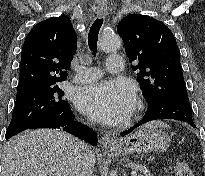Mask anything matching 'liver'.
Returning <instances> with one entry per match:
<instances>
[{
  "mask_svg": "<svg viewBox=\"0 0 205 176\" xmlns=\"http://www.w3.org/2000/svg\"><path fill=\"white\" fill-rule=\"evenodd\" d=\"M76 141L57 129L25 131L7 143L2 176H75Z\"/></svg>",
  "mask_w": 205,
  "mask_h": 176,
  "instance_id": "liver-1",
  "label": "liver"
}]
</instances>
